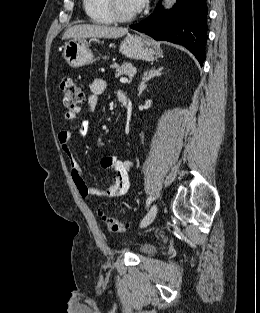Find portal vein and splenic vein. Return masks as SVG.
<instances>
[{
  "mask_svg": "<svg viewBox=\"0 0 260 313\" xmlns=\"http://www.w3.org/2000/svg\"><path fill=\"white\" fill-rule=\"evenodd\" d=\"M133 74H131L130 76H132ZM120 82L121 83H128L129 82V80L127 79V78H121L120 79Z\"/></svg>",
  "mask_w": 260,
  "mask_h": 313,
  "instance_id": "obj_1",
  "label": "portal vein and splenic vein"
}]
</instances>
